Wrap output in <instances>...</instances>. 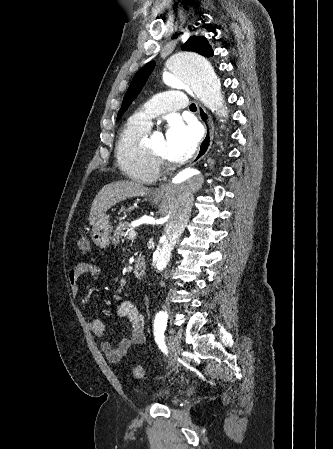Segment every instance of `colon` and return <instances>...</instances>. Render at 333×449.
Returning <instances> with one entry per match:
<instances>
[{"mask_svg": "<svg viewBox=\"0 0 333 449\" xmlns=\"http://www.w3.org/2000/svg\"><path fill=\"white\" fill-rule=\"evenodd\" d=\"M90 240L87 236H81L78 240V250L81 254H87L90 251ZM133 374L135 378L140 379L145 376V370L142 366L138 365L133 368Z\"/></svg>", "mask_w": 333, "mask_h": 449, "instance_id": "1", "label": "colon"}]
</instances>
